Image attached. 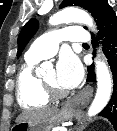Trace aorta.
Masks as SVG:
<instances>
[{
    "mask_svg": "<svg viewBox=\"0 0 117 131\" xmlns=\"http://www.w3.org/2000/svg\"><path fill=\"white\" fill-rule=\"evenodd\" d=\"M81 23L88 26L92 31H96L95 24L92 17L84 10L74 7H69L54 14L49 19V24L52 26L60 25L63 23ZM45 67L46 64H42ZM96 79H97V92L88 109V116L98 114L108 104L112 93V78L108 66L100 59V55L95 64Z\"/></svg>",
    "mask_w": 117,
    "mask_h": 131,
    "instance_id": "762f6f07",
    "label": "aorta"
}]
</instances>
